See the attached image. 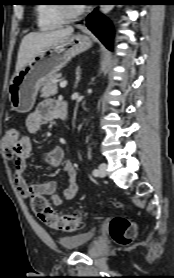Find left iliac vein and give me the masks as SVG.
I'll return each mask as SVG.
<instances>
[{
  "label": "left iliac vein",
  "mask_w": 174,
  "mask_h": 278,
  "mask_svg": "<svg viewBox=\"0 0 174 278\" xmlns=\"http://www.w3.org/2000/svg\"><path fill=\"white\" fill-rule=\"evenodd\" d=\"M98 176L100 177H104L107 174V165L105 163H102L99 165V169H98Z\"/></svg>",
  "instance_id": "4c4485c4"
}]
</instances>
